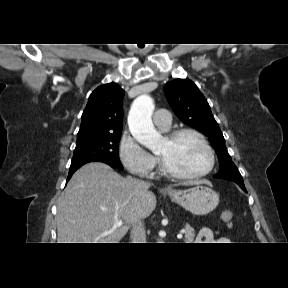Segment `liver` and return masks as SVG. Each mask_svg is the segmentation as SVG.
I'll return each instance as SVG.
<instances>
[{"instance_id":"6515ba94","label":"liver","mask_w":288,"mask_h":288,"mask_svg":"<svg viewBox=\"0 0 288 288\" xmlns=\"http://www.w3.org/2000/svg\"><path fill=\"white\" fill-rule=\"evenodd\" d=\"M208 183L188 181L184 186ZM150 184L123 178L109 165L92 162L78 169L57 207L58 243H118L156 208ZM116 220L124 225L116 227ZM101 241V242H97Z\"/></svg>"}]
</instances>
